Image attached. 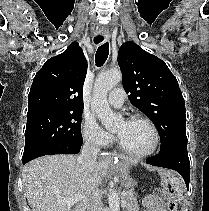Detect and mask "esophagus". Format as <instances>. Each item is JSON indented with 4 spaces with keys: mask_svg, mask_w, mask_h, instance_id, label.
I'll return each instance as SVG.
<instances>
[{
    "mask_svg": "<svg viewBox=\"0 0 209 211\" xmlns=\"http://www.w3.org/2000/svg\"><path fill=\"white\" fill-rule=\"evenodd\" d=\"M109 38H110V32L108 30H101L100 36H97L94 39V42L97 44L102 40L107 41ZM103 159H110V154H103Z\"/></svg>",
    "mask_w": 209,
    "mask_h": 211,
    "instance_id": "obj_1",
    "label": "esophagus"
}]
</instances>
